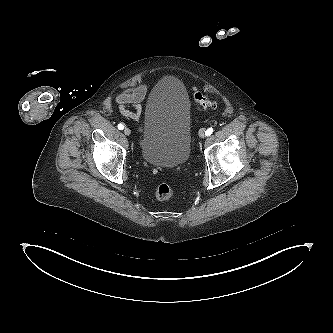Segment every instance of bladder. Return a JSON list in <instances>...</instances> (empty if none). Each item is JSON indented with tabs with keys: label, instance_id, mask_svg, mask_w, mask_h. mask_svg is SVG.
<instances>
[{
	"label": "bladder",
	"instance_id": "obj_1",
	"mask_svg": "<svg viewBox=\"0 0 333 333\" xmlns=\"http://www.w3.org/2000/svg\"><path fill=\"white\" fill-rule=\"evenodd\" d=\"M140 152L148 164L175 168L191 153V106L184 83L165 76L151 90L141 127Z\"/></svg>",
	"mask_w": 333,
	"mask_h": 333
}]
</instances>
